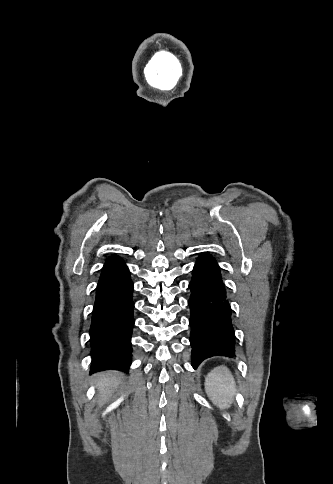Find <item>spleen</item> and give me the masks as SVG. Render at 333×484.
Wrapping results in <instances>:
<instances>
[{
	"mask_svg": "<svg viewBox=\"0 0 333 484\" xmlns=\"http://www.w3.org/2000/svg\"><path fill=\"white\" fill-rule=\"evenodd\" d=\"M205 391L214 405L220 409L230 408L236 391L235 380L230 371L222 366L205 378Z\"/></svg>",
	"mask_w": 333,
	"mask_h": 484,
	"instance_id": "obj_1",
	"label": "spleen"
}]
</instances>
